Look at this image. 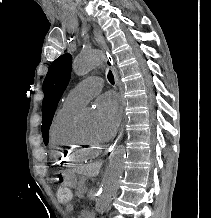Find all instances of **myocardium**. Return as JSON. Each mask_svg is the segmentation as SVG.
<instances>
[{
  "label": "myocardium",
  "mask_w": 211,
  "mask_h": 218,
  "mask_svg": "<svg viewBox=\"0 0 211 218\" xmlns=\"http://www.w3.org/2000/svg\"><path fill=\"white\" fill-rule=\"evenodd\" d=\"M78 135L80 143L84 146V148L100 152L103 147V142L101 139L98 137L89 138L82 132V130H78Z\"/></svg>",
  "instance_id": "1"
}]
</instances>
